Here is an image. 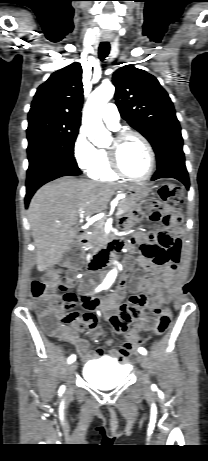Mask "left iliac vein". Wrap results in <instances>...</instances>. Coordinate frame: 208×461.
<instances>
[{"mask_svg": "<svg viewBox=\"0 0 208 461\" xmlns=\"http://www.w3.org/2000/svg\"><path fill=\"white\" fill-rule=\"evenodd\" d=\"M139 362L141 366L147 371L149 368V359L145 355H140L139 356ZM149 382V377L148 374L145 375V386L147 387Z\"/></svg>", "mask_w": 208, "mask_h": 461, "instance_id": "4c4485c4", "label": "left iliac vein"}]
</instances>
